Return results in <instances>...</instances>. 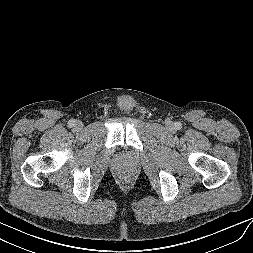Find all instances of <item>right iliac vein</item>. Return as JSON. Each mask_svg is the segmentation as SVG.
Instances as JSON below:
<instances>
[{
    "mask_svg": "<svg viewBox=\"0 0 253 253\" xmlns=\"http://www.w3.org/2000/svg\"><path fill=\"white\" fill-rule=\"evenodd\" d=\"M82 127H83L82 122H80V121L76 122V124H75V128H76L77 130H81V129H82Z\"/></svg>",
    "mask_w": 253,
    "mask_h": 253,
    "instance_id": "obj_1",
    "label": "right iliac vein"
}]
</instances>
